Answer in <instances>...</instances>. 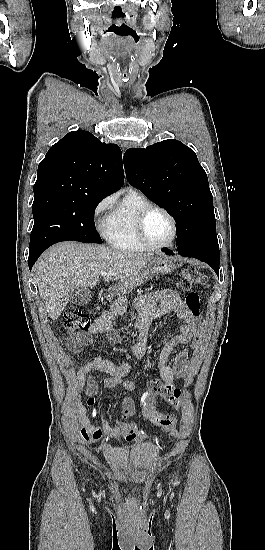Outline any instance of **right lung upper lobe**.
<instances>
[{"mask_svg":"<svg viewBox=\"0 0 265 550\" xmlns=\"http://www.w3.org/2000/svg\"><path fill=\"white\" fill-rule=\"evenodd\" d=\"M124 182L122 153L91 133L73 131L54 144L40 162L34 196L106 197Z\"/></svg>","mask_w":265,"mask_h":550,"instance_id":"1","label":"right lung upper lobe"}]
</instances>
